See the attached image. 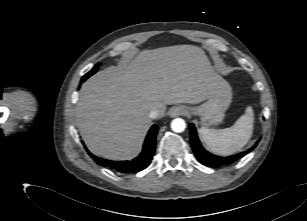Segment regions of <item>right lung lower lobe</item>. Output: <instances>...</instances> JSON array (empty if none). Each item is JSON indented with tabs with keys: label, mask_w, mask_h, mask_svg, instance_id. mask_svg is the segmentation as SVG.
<instances>
[{
	"label": "right lung lower lobe",
	"mask_w": 307,
	"mask_h": 221,
	"mask_svg": "<svg viewBox=\"0 0 307 221\" xmlns=\"http://www.w3.org/2000/svg\"><path fill=\"white\" fill-rule=\"evenodd\" d=\"M84 81L85 79L83 77L81 82ZM157 131H158V126L153 125L146 137L143 151L137 158L131 161H110L96 157L90 152L88 153L97 164L113 169L114 171L123 172V173L139 172L145 169L150 164L153 158L155 152V141H156Z\"/></svg>",
	"instance_id": "obj_1"
}]
</instances>
